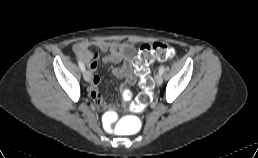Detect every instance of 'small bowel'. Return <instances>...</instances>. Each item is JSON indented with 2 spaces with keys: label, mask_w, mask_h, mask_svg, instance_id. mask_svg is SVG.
<instances>
[{
  "label": "small bowel",
  "mask_w": 258,
  "mask_h": 158,
  "mask_svg": "<svg viewBox=\"0 0 258 158\" xmlns=\"http://www.w3.org/2000/svg\"><path fill=\"white\" fill-rule=\"evenodd\" d=\"M91 47H97L104 53H108L104 61L107 64H112L120 61L127 51L132 49L131 45L128 43H120L116 41H81L74 45V51L81 56V59L87 64L91 72V84L89 93L95 104L100 109L112 108L111 105L106 103L98 91V86L101 82L100 75L96 72L98 68V56L90 51ZM112 74L124 80L120 85V92L125 95L128 91V87L134 85L137 78L133 71V66L131 61L128 59L121 67H112Z\"/></svg>",
  "instance_id": "1"
}]
</instances>
